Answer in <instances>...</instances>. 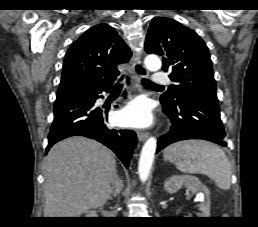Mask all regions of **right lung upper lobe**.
<instances>
[{
    "label": "right lung upper lobe",
    "instance_id": "cb5924a9",
    "mask_svg": "<svg viewBox=\"0 0 258 227\" xmlns=\"http://www.w3.org/2000/svg\"><path fill=\"white\" fill-rule=\"evenodd\" d=\"M130 57L129 47L117 32L106 24H98L68 49L58 92L83 83H113L119 75L117 65Z\"/></svg>",
    "mask_w": 258,
    "mask_h": 227
}]
</instances>
